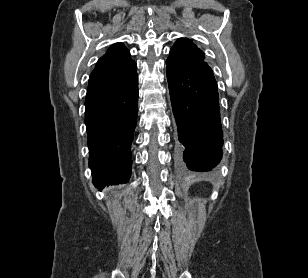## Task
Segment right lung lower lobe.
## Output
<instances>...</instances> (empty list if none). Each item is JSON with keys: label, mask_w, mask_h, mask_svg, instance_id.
<instances>
[{"label": "right lung lower lobe", "mask_w": 308, "mask_h": 278, "mask_svg": "<svg viewBox=\"0 0 308 278\" xmlns=\"http://www.w3.org/2000/svg\"><path fill=\"white\" fill-rule=\"evenodd\" d=\"M137 100V72L120 86L87 91L89 167L96 187L126 183L130 178Z\"/></svg>", "instance_id": "1"}]
</instances>
